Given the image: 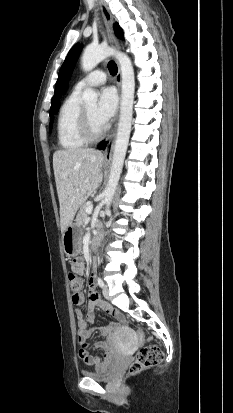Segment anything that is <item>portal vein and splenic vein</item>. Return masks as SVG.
Segmentation results:
<instances>
[{"mask_svg": "<svg viewBox=\"0 0 233 413\" xmlns=\"http://www.w3.org/2000/svg\"><path fill=\"white\" fill-rule=\"evenodd\" d=\"M92 209H93V205H89V206L86 208V212H87L88 214H90V213L92 212Z\"/></svg>", "mask_w": 233, "mask_h": 413, "instance_id": "1", "label": "portal vein and splenic vein"}]
</instances>
